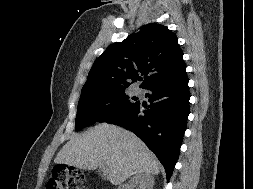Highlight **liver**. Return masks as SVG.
<instances>
[{
    "label": "liver",
    "mask_w": 253,
    "mask_h": 189,
    "mask_svg": "<svg viewBox=\"0 0 253 189\" xmlns=\"http://www.w3.org/2000/svg\"><path fill=\"white\" fill-rule=\"evenodd\" d=\"M54 162L88 170L104 164L107 179L113 185H120L137 173L157 175L161 168L142 140L128 130L107 123L72 137Z\"/></svg>",
    "instance_id": "obj_1"
}]
</instances>
